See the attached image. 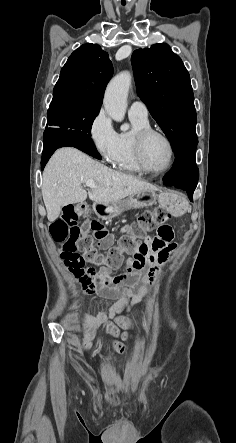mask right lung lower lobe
I'll use <instances>...</instances> for the list:
<instances>
[{
  "instance_id": "right-lung-lower-lobe-1",
  "label": "right lung lower lobe",
  "mask_w": 236,
  "mask_h": 443,
  "mask_svg": "<svg viewBox=\"0 0 236 443\" xmlns=\"http://www.w3.org/2000/svg\"><path fill=\"white\" fill-rule=\"evenodd\" d=\"M63 129H53V131L44 132V147L41 159V168L44 169L53 152L63 146H73L83 152L97 158L102 159L97 152L92 140L83 137L63 133Z\"/></svg>"
}]
</instances>
